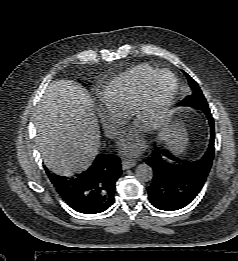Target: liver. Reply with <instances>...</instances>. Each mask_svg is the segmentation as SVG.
I'll return each instance as SVG.
<instances>
[{"mask_svg": "<svg viewBox=\"0 0 238 261\" xmlns=\"http://www.w3.org/2000/svg\"><path fill=\"white\" fill-rule=\"evenodd\" d=\"M90 95L71 80L51 82L35 112L36 143L48 169L73 173L90 163L100 144Z\"/></svg>", "mask_w": 238, "mask_h": 261, "instance_id": "1", "label": "liver"}]
</instances>
